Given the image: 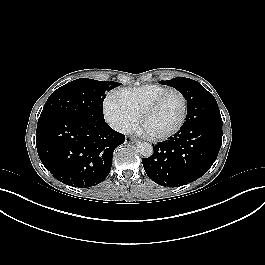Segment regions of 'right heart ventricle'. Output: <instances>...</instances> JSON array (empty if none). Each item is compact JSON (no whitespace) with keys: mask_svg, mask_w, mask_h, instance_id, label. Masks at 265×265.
<instances>
[{"mask_svg":"<svg viewBox=\"0 0 265 265\" xmlns=\"http://www.w3.org/2000/svg\"><path fill=\"white\" fill-rule=\"evenodd\" d=\"M166 87L159 84H145L134 88L121 89L119 93L126 104L139 117L146 105Z\"/></svg>","mask_w":265,"mask_h":265,"instance_id":"obj_1","label":"right heart ventricle"}]
</instances>
